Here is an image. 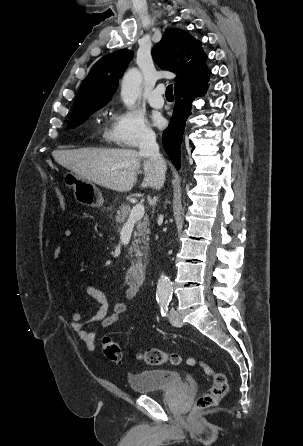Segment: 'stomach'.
Segmentation results:
<instances>
[{
  "label": "stomach",
  "mask_w": 303,
  "mask_h": 446,
  "mask_svg": "<svg viewBox=\"0 0 303 446\" xmlns=\"http://www.w3.org/2000/svg\"><path fill=\"white\" fill-rule=\"evenodd\" d=\"M63 183L66 187L73 189L74 197L78 203L90 207H101L103 205L104 199L95 184L85 180L73 171L63 174Z\"/></svg>",
  "instance_id": "1"
}]
</instances>
